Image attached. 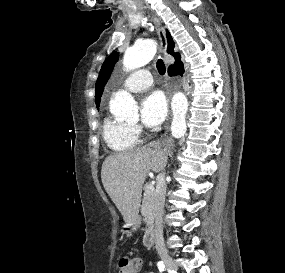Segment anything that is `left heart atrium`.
I'll list each match as a JSON object with an SVG mask.
<instances>
[{
  "label": "left heart atrium",
  "instance_id": "left-heart-atrium-1",
  "mask_svg": "<svg viewBox=\"0 0 285 273\" xmlns=\"http://www.w3.org/2000/svg\"><path fill=\"white\" fill-rule=\"evenodd\" d=\"M141 120L144 125L154 127L163 122L167 114V101L161 91H152L141 102Z\"/></svg>",
  "mask_w": 285,
  "mask_h": 273
}]
</instances>
